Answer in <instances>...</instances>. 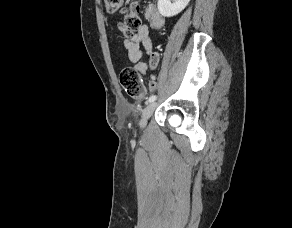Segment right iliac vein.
Here are the masks:
<instances>
[{
	"instance_id": "1",
	"label": "right iliac vein",
	"mask_w": 292,
	"mask_h": 228,
	"mask_svg": "<svg viewBox=\"0 0 292 228\" xmlns=\"http://www.w3.org/2000/svg\"><path fill=\"white\" fill-rule=\"evenodd\" d=\"M156 107V103H150L143 111L142 117L140 120V126L145 127L147 120L151 117Z\"/></svg>"
}]
</instances>
